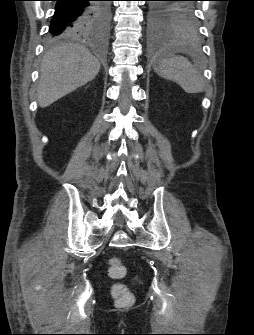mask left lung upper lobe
I'll return each mask as SVG.
<instances>
[{"mask_svg": "<svg viewBox=\"0 0 254 335\" xmlns=\"http://www.w3.org/2000/svg\"><path fill=\"white\" fill-rule=\"evenodd\" d=\"M148 28L152 35L193 33L197 30L195 0H148Z\"/></svg>", "mask_w": 254, "mask_h": 335, "instance_id": "1", "label": "left lung upper lobe"}]
</instances>
